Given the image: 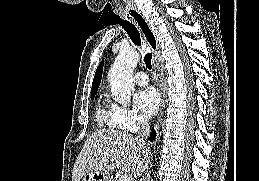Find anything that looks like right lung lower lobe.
Instances as JSON below:
<instances>
[{
    "instance_id": "right-lung-lower-lobe-1",
    "label": "right lung lower lobe",
    "mask_w": 259,
    "mask_h": 181,
    "mask_svg": "<svg viewBox=\"0 0 259 181\" xmlns=\"http://www.w3.org/2000/svg\"><path fill=\"white\" fill-rule=\"evenodd\" d=\"M155 136H156V132L153 130L151 135H150V141H152L153 139H155Z\"/></svg>"
}]
</instances>
